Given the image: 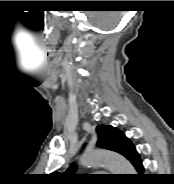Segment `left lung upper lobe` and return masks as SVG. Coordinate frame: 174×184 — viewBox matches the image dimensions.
Masks as SVG:
<instances>
[{"instance_id": "obj_1", "label": "left lung upper lobe", "mask_w": 174, "mask_h": 184, "mask_svg": "<svg viewBox=\"0 0 174 184\" xmlns=\"http://www.w3.org/2000/svg\"><path fill=\"white\" fill-rule=\"evenodd\" d=\"M98 135L97 146L118 152L126 155L129 148L133 145L132 142L117 128L112 126L99 125L96 128ZM76 166L72 164L65 173H54L56 176H61L66 180H79L80 175L74 174Z\"/></svg>"}]
</instances>
